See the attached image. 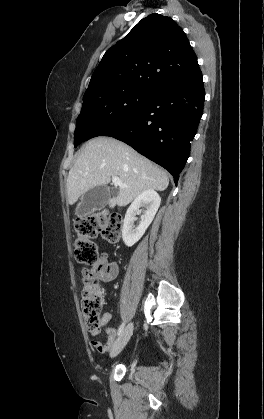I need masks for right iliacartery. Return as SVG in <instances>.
<instances>
[{"mask_svg": "<svg viewBox=\"0 0 264 419\" xmlns=\"http://www.w3.org/2000/svg\"><path fill=\"white\" fill-rule=\"evenodd\" d=\"M124 326H125V323L123 322V323L120 325V327L118 328V331H117V335H118V336H120V335H121V333L123 332Z\"/></svg>", "mask_w": 264, "mask_h": 419, "instance_id": "82829eb1", "label": "right iliac artery"}]
</instances>
